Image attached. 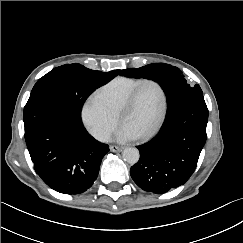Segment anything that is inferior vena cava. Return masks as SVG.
Masks as SVG:
<instances>
[{"label":"inferior vena cava","instance_id":"obj_1","mask_svg":"<svg viewBox=\"0 0 243 243\" xmlns=\"http://www.w3.org/2000/svg\"><path fill=\"white\" fill-rule=\"evenodd\" d=\"M91 134L93 135L94 138H96L99 141L106 142L109 141L110 139V133L105 129L99 127L92 128Z\"/></svg>","mask_w":243,"mask_h":243}]
</instances>
